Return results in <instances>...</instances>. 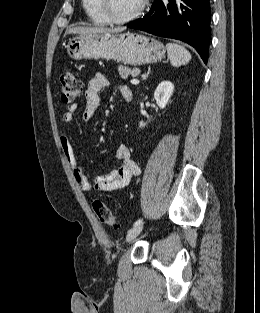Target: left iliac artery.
<instances>
[{
  "label": "left iliac artery",
  "instance_id": "obj_1",
  "mask_svg": "<svg viewBox=\"0 0 260 313\" xmlns=\"http://www.w3.org/2000/svg\"><path fill=\"white\" fill-rule=\"evenodd\" d=\"M142 220H143V219H138V220L133 224V226L140 225V224L142 223Z\"/></svg>",
  "mask_w": 260,
  "mask_h": 313
}]
</instances>
